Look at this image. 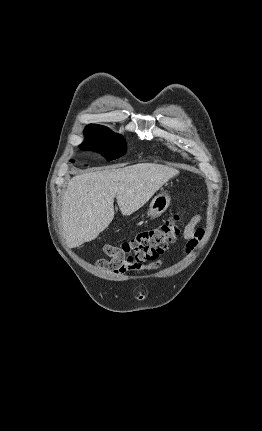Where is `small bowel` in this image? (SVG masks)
I'll list each match as a JSON object with an SVG mask.
<instances>
[{"label":"small bowel","instance_id":"obj_1","mask_svg":"<svg viewBox=\"0 0 262 431\" xmlns=\"http://www.w3.org/2000/svg\"><path fill=\"white\" fill-rule=\"evenodd\" d=\"M199 223L198 217H193L188 224L185 226L182 232V238L186 241V252L190 253L198 244L199 240L203 236V230L197 228ZM163 264L162 260H156L147 265L135 264L128 265L122 264L117 260H107L100 259L97 261V265L104 269L105 271L113 274L115 276L123 275L129 270L139 271V270H155L158 269Z\"/></svg>","mask_w":262,"mask_h":431}]
</instances>
